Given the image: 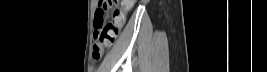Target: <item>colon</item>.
<instances>
[{
	"instance_id": "colon-1",
	"label": "colon",
	"mask_w": 267,
	"mask_h": 72,
	"mask_svg": "<svg viewBox=\"0 0 267 72\" xmlns=\"http://www.w3.org/2000/svg\"><path fill=\"white\" fill-rule=\"evenodd\" d=\"M125 2L126 1L118 0L100 1L101 7L96 10V18L93 23L95 43L93 46L92 56L95 60L101 58L104 48H108L114 44L120 30V26L115 19L125 14ZM112 7H114V20L106 23L104 21L105 12Z\"/></svg>"
}]
</instances>
